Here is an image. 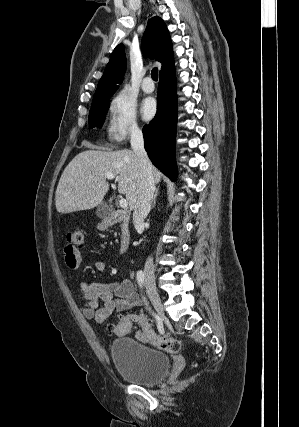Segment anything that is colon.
Wrapping results in <instances>:
<instances>
[{"mask_svg": "<svg viewBox=\"0 0 299 427\" xmlns=\"http://www.w3.org/2000/svg\"><path fill=\"white\" fill-rule=\"evenodd\" d=\"M67 246L66 251L74 252L84 244V231L81 227H76L66 234ZM139 323L142 326L144 336L150 338L157 347L168 352L178 353L181 349L179 340L169 337L160 336L155 334L150 326V322L143 318L141 315H126L123 316L118 322L111 326V331L118 335L133 333L135 325Z\"/></svg>", "mask_w": 299, "mask_h": 427, "instance_id": "colon-1", "label": "colon"}]
</instances>
